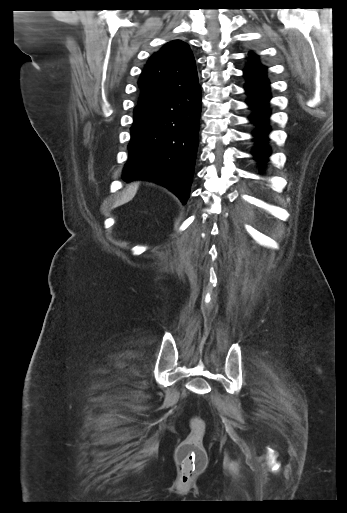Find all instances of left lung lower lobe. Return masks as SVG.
I'll return each mask as SVG.
<instances>
[{"label": "left lung lower lobe", "instance_id": "0a47b994", "mask_svg": "<svg viewBox=\"0 0 347 513\" xmlns=\"http://www.w3.org/2000/svg\"><path fill=\"white\" fill-rule=\"evenodd\" d=\"M244 76L247 79L245 90L251 96L247 103L255 110V113L250 116V120L259 125L253 133L254 139L258 142L253 155L257 157L256 159L259 162L263 163L270 153L268 146L265 144V136L270 131L266 122L270 116L268 102L271 96L269 81L266 78V68L257 63V56H249Z\"/></svg>", "mask_w": 347, "mask_h": 513}]
</instances>
